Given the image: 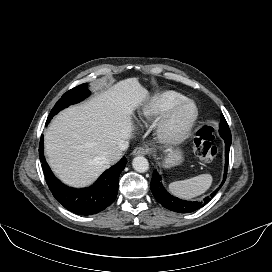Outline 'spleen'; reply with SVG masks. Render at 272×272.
<instances>
[{"label":"spleen","instance_id":"1","mask_svg":"<svg viewBox=\"0 0 272 272\" xmlns=\"http://www.w3.org/2000/svg\"><path fill=\"white\" fill-rule=\"evenodd\" d=\"M212 181L210 174H201L190 179L172 182L169 184V190L175 196L188 200L205 193Z\"/></svg>","mask_w":272,"mask_h":272}]
</instances>
